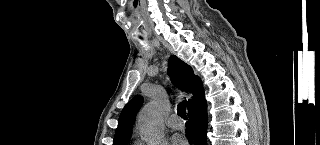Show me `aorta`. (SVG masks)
<instances>
[{"label": "aorta", "mask_w": 320, "mask_h": 145, "mask_svg": "<svg viewBox=\"0 0 320 145\" xmlns=\"http://www.w3.org/2000/svg\"><path fill=\"white\" fill-rule=\"evenodd\" d=\"M138 129L150 145H158L163 137L161 106L151 101L142 109L138 118Z\"/></svg>", "instance_id": "762f6f07"}]
</instances>
